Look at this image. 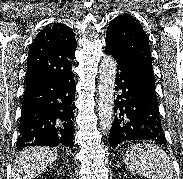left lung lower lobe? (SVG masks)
Segmentation results:
<instances>
[{
	"mask_svg": "<svg viewBox=\"0 0 183 179\" xmlns=\"http://www.w3.org/2000/svg\"><path fill=\"white\" fill-rule=\"evenodd\" d=\"M106 53L117 61L115 119L109 144L115 148L127 140H146L166 145L156 94L141 66L106 42Z\"/></svg>",
	"mask_w": 183,
	"mask_h": 179,
	"instance_id": "left-lung-lower-lobe-1",
	"label": "left lung lower lobe"
}]
</instances>
